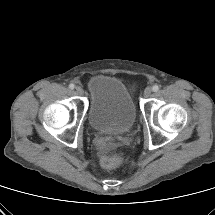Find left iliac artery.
<instances>
[{
	"label": "left iliac artery",
	"instance_id": "left-iliac-artery-1",
	"mask_svg": "<svg viewBox=\"0 0 215 215\" xmlns=\"http://www.w3.org/2000/svg\"><path fill=\"white\" fill-rule=\"evenodd\" d=\"M152 90H153L154 92H157V91L159 90V86H158V85H154V86L152 87Z\"/></svg>",
	"mask_w": 215,
	"mask_h": 215
}]
</instances>
